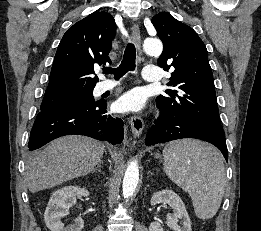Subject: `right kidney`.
<instances>
[{
  "label": "right kidney",
  "mask_w": 261,
  "mask_h": 231,
  "mask_svg": "<svg viewBox=\"0 0 261 231\" xmlns=\"http://www.w3.org/2000/svg\"><path fill=\"white\" fill-rule=\"evenodd\" d=\"M89 196L88 190L77 186H65L53 193L44 213L46 226L51 231H81L84 227L82 218H76L71 226L64 227L61 218L68 214V209L75 204L76 196Z\"/></svg>",
  "instance_id": "ca27d5eb"
}]
</instances>
